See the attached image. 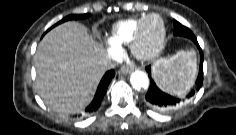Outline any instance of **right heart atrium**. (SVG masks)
<instances>
[{"instance_id": "obj_1", "label": "right heart atrium", "mask_w": 236, "mask_h": 135, "mask_svg": "<svg viewBox=\"0 0 236 135\" xmlns=\"http://www.w3.org/2000/svg\"><path fill=\"white\" fill-rule=\"evenodd\" d=\"M105 43L108 45V52H109L110 57L118 58L120 56V49L108 41H105Z\"/></svg>"}]
</instances>
